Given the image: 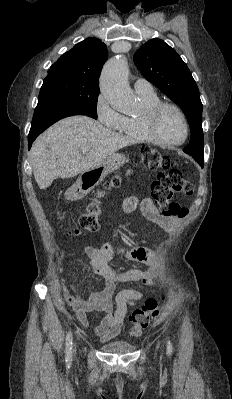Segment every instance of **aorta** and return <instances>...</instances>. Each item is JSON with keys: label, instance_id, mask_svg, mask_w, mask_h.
<instances>
[{"label": "aorta", "instance_id": "1", "mask_svg": "<svg viewBox=\"0 0 232 399\" xmlns=\"http://www.w3.org/2000/svg\"><path fill=\"white\" fill-rule=\"evenodd\" d=\"M100 89L110 105L120 112L131 111L137 105L128 83V63L123 57L112 58L104 65Z\"/></svg>", "mask_w": 232, "mask_h": 399}]
</instances>
